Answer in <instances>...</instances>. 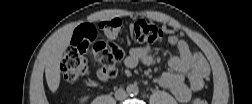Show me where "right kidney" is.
I'll return each mask as SVG.
<instances>
[{"instance_id": "ca27d5eb", "label": "right kidney", "mask_w": 252, "mask_h": 104, "mask_svg": "<svg viewBox=\"0 0 252 104\" xmlns=\"http://www.w3.org/2000/svg\"><path fill=\"white\" fill-rule=\"evenodd\" d=\"M86 100H87V98H86V97H84V98H82V99H81V101H83V102H84V101H86Z\"/></svg>"}]
</instances>
